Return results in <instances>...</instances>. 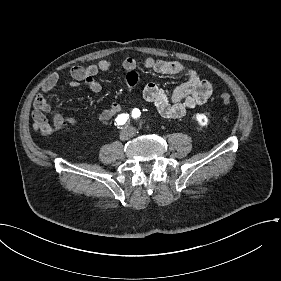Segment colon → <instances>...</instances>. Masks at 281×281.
I'll use <instances>...</instances> for the list:
<instances>
[{
    "mask_svg": "<svg viewBox=\"0 0 281 281\" xmlns=\"http://www.w3.org/2000/svg\"><path fill=\"white\" fill-rule=\"evenodd\" d=\"M231 96L227 95V94H222L219 96V101L220 103L224 104V105H228L231 103Z\"/></svg>",
    "mask_w": 281,
    "mask_h": 281,
    "instance_id": "5ec220e1",
    "label": "colon"
}]
</instances>
